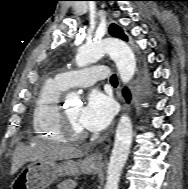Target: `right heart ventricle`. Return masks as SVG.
<instances>
[{"label":"right heart ventricle","instance_id":"obj_1","mask_svg":"<svg viewBox=\"0 0 188 189\" xmlns=\"http://www.w3.org/2000/svg\"><path fill=\"white\" fill-rule=\"evenodd\" d=\"M65 90L56 80L43 82L32 113V127L37 136L52 142L65 141L59 121L60 97Z\"/></svg>","mask_w":188,"mask_h":189}]
</instances>
